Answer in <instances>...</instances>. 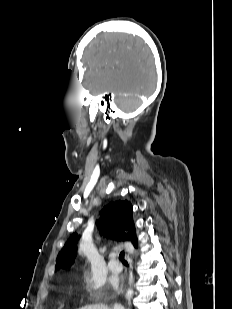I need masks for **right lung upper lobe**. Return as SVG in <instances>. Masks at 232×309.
I'll list each match as a JSON object with an SVG mask.
<instances>
[{
	"mask_svg": "<svg viewBox=\"0 0 232 309\" xmlns=\"http://www.w3.org/2000/svg\"><path fill=\"white\" fill-rule=\"evenodd\" d=\"M101 218L96 222L104 236L117 241H131L138 247L133 209L128 201L111 202L102 210ZM77 234L74 233L65 243L56 259L55 270L70 266L76 256Z\"/></svg>",
	"mask_w": 232,
	"mask_h": 309,
	"instance_id": "right-lung-upper-lobe-1",
	"label": "right lung upper lobe"
}]
</instances>
